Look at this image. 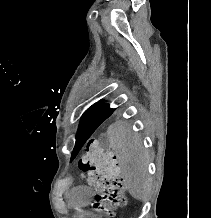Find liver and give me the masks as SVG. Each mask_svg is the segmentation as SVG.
Returning a JSON list of instances; mask_svg holds the SVG:
<instances>
[{"label":"liver","instance_id":"liver-1","mask_svg":"<svg viewBox=\"0 0 211 218\" xmlns=\"http://www.w3.org/2000/svg\"><path fill=\"white\" fill-rule=\"evenodd\" d=\"M110 148L117 156L121 178L132 198L145 200L150 188L147 176L148 156L142 148L139 134H132L127 122L117 120L107 128Z\"/></svg>","mask_w":211,"mask_h":218}]
</instances>
